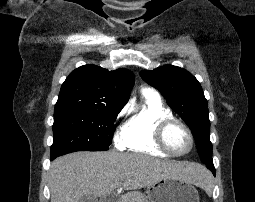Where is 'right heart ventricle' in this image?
I'll return each mask as SVG.
<instances>
[{"label":"right heart ventricle","mask_w":255,"mask_h":202,"mask_svg":"<svg viewBox=\"0 0 255 202\" xmlns=\"http://www.w3.org/2000/svg\"><path fill=\"white\" fill-rule=\"evenodd\" d=\"M171 111L159 97L143 94L142 106L128 118L121 130V140L125 148L133 152L167 157L155 142V130L160 121L171 118Z\"/></svg>","instance_id":"obj_1"}]
</instances>
